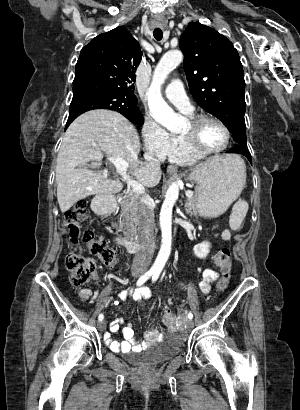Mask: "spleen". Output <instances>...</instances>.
I'll use <instances>...</instances> for the list:
<instances>
[{
	"label": "spleen",
	"instance_id": "obj_1",
	"mask_svg": "<svg viewBox=\"0 0 300 410\" xmlns=\"http://www.w3.org/2000/svg\"><path fill=\"white\" fill-rule=\"evenodd\" d=\"M241 170L244 175V179H245L244 181H246V167L244 163L241 166ZM248 208H249L248 203L245 200H238L234 204L232 208V213L229 219V225L232 230H237L241 226L247 214Z\"/></svg>",
	"mask_w": 300,
	"mask_h": 410
}]
</instances>
